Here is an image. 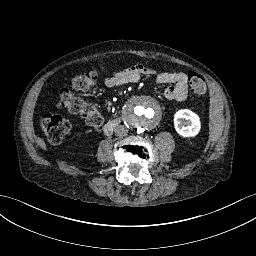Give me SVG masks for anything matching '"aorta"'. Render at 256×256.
Instances as JSON below:
<instances>
[{
	"instance_id": "762f6f07",
	"label": "aorta",
	"mask_w": 256,
	"mask_h": 256,
	"mask_svg": "<svg viewBox=\"0 0 256 256\" xmlns=\"http://www.w3.org/2000/svg\"><path fill=\"white\" fill-rule=\"evenodd\" d=\"M125 118L132 129L139 132H148L159 125L162 118V109L155 98L148 95H139L128 102L125 109Z\"/></svg>"
}]
</instances>
